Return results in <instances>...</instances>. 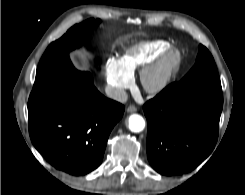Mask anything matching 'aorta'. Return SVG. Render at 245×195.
Segmentation results:
<instances>
[{"label": "aorta", "mask_w": 245, "mask_h": 195, "mask_svg": "<svg viewBox=\"0 0 245 195\" xmlns=\"http://www.w3.org/2000/svg\"><path fill=\"white\" fill-rule=\"evenodd\" d=\"M128 125L132 132H141L145 128V120L138 114H132L128 119Z\"/></svg>", "instance_id": "aorta-1"}]
</instances>
